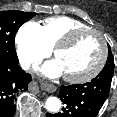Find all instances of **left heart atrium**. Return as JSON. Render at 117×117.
<instances>
[{
    "instance_id": "obj_1",
    "label": "left heart atrium",
    "mask_w": 117,
    "mask_h": 117,
    "mask_svg": "<svg viewBox=\"0 0 117 117\" xmlns=\"http://www.w3.org/2000/svg\"><path fill=\"white\" fill-rule=\"evenodd\" d=\"M43 75L49 78H56L63 75L62 68L57 59L45 63L38 69Z\"/></svg>"
}]
</instances>
